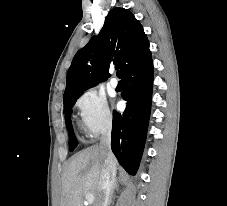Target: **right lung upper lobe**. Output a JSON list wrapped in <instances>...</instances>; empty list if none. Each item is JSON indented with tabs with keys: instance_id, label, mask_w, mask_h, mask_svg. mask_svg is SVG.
<instances>
[{
	"instance_id": "1",
	"label": "right lung upper lobe",
	"mask_w": 227,
	"mask_h": 206,
	"mask_svg": "<svg viewBox=\"0 0 227 206\" xmlns=\"http://www.w3.org/2000/svg\"><path fill=\"white\" fill-rule=\"evenodd\" d=\"M151 57L149 41L140 22L127 9H112L97 36L80 49L67 73L64 99L80 95L109 76L108 69L119 64V77Z\"/></svg>"
}]
</instances>
